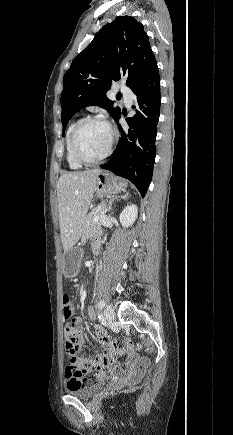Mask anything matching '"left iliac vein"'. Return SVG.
<instances>
[{
    "label": "left iliac vein",
    "instance_id": "obj_1",
    "mask_svg": "<svg viewBox=\"0 0 233 435\" xmlns=\"http://www.w3.org/2000/svg\"><path fill=\"white\" fill-rule=\"evenodd\" d=\"M104 321L107 325H110L115 320V312L112 307L107 306L103 313Z\"/></svg>",
    "mask_w": 233,
    "mask_h": 435
}]
</instances>
